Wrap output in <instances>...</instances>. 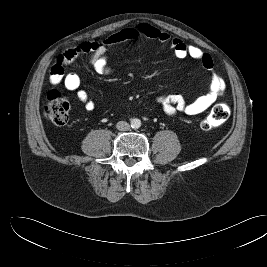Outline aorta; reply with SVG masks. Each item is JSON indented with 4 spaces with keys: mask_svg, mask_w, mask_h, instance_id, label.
<instances>
[{
    "mask_svg": "<svg viewBox=\"0 0 267 267\" xmlns=\"http://www.w3.org/2000/svg\"><path fill=\"white\" fill-rule=\"evenodd\" d=\"M131 126L132 128H139L141 126V121L137 118H134L131 120Z\"/></svg>",
    "mask_w": 267,
    "mask_h": 267,
    "instance_id": "1",
    "label": "aorta"
}]
</instances>
